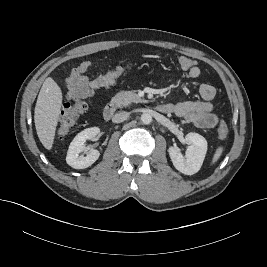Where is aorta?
<instances>
[{
	"instance_id": "aorta-1",
	"label": "aorta",
	"mask_w": 267,
	"mask_h": 267,
	"mask_svg": "<svg viewBox=\"0 0 267 267\" xmlns=\"http://www.w3.org/2000/svg\"><path fill=\"white\" fill-rule=\"evenodd\" d=\"M141 121H142L143 124H146V125L150 124L152 122V116H151V114H149V113H143L141 115Z\"/></svg>"
}]
</instances>
